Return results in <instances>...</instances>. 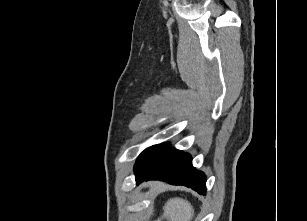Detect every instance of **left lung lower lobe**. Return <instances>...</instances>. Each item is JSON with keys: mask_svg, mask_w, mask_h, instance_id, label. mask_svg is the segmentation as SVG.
I'll return each instance as SVG.
<instances>
[{"mask_svg": "<svg viewBox=\"0 0 307 221\" xmlns=\"http://www.w3.org/2000/svg\"><path fill=\"white\" fill-rule=\"evenodd\" d=\"M163 180L173 185H184L197 191L206 192V177L192 166V159L174 147H169L148 167L136 175L138 183L145 180Z\"/></svg>", "mask_w": 307, "mask_h": 221, "instance_id": "left-lung-lower-lobe-1", "label": "left lung lower lobe"}]
</instances>
